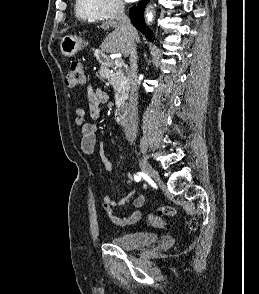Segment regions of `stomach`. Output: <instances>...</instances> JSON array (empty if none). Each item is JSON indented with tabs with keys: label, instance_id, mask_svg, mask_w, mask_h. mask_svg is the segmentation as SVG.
I'll return each mask as SVG.
<instances>
[{
	"label": "stomach",
	"instance_id": "0dacf381",
	"mask_svg": "<svg viewBox=\"0 0 259 294\" xmlns=\"http://www.w3.org/2000/svg\"><path fill=\"white\" fill-rule=\"evenodd\" d=\"M84 41L78 35H67L60 42V49L64 56L72 57L83 48Z\"/></svg>",
	"mask_w": 259,
	"mask_h": 294
}]
</instances>
